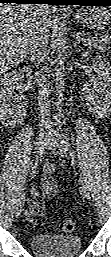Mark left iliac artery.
I'll return each mask as SVG.
<instances>
[{"instance_id":"left-iliac-artery-1","label":"left iliac artery","mask_w":111,"mask_h":257,"mask_svg":"<svg viewBox=\"0 0 111 257\" xmlns=\"http://www.w3.org/2000/svg\"><path fill=\"white\" fill-rule=\"evenodd\" d=\"M63 139H64V143H65L66 147L70 149V155H71L72 159H74L75 155H74L73 150H71V145L68 141V138L65 135H63Z\"/></svg>"}]
</instances>
